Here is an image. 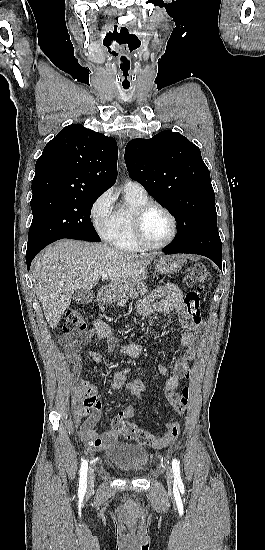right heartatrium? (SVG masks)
Segmentation results:
<instances>
[{"instance_id": "1", "label": "right heart atrium", "mask_w": 265, "mask_h": 550, "mask_svg": "<svg viewBox=\"0 0 265 550\" xmlns=\"http://www.w3.org/2000/svg\"><path fill=\"white\" fill-rule=\"evenodd\" d=\"M113 195L110 191L100 194L92 203L90 217L96 232L106 239L112 218Z\"/></svg>"}]
</instances>
